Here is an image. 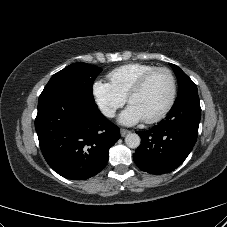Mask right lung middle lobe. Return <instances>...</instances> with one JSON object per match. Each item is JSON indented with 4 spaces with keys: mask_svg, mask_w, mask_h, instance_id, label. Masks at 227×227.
Returning a JSON list of instances; mask_svg holds the SVG:
<instances>
[{
    "mask_svg": "<svg viewBox=\"0 0 227 227\" xmlns=\"http://www.w3.org/2000/svg\"><path fill=\"white\" fill-rule=\"evenodd\" d=\"M101 71V68L87 63L79 62L71 64L54 74L43 92L58 88H69L80 93L87 99L94 100L92 85Z\"/></svg>",
    "mask_w": 227,
    "mask_h": 227,
    "instance_id": "dd1d6c3e",
    "label": "right lung middle lobe"
}]
</instances>
